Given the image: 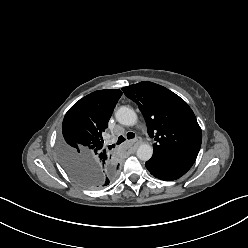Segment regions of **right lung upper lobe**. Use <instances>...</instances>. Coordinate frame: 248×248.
Listing matches in <instances>:
<instances>
[{"label":"right lung upper lobe","mask_w":248,"mask_h":248,"mask_svg":"<svg viewBox=\"0 0 248 248\" xmlns=\"http://www.w3.org/2000/svg\"><path fill=\"white\" fill-rule=\"evenodd\" d=\"M121 95L120 90L113 89L90 93L75 103L63 120V155L81 157L101 171L102 184L94 188L108 185L118 170L119 164L104 146L102 133Z\"/></svg>","instance_id":"cb5924a9"}]
</instances>
